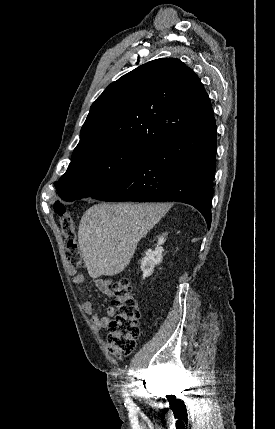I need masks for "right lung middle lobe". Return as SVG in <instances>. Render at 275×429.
I'll return each mask as SVG.
<instances>
[{
    "mask_svg": "<svg viewBox=\"0 0 275 429\" xmlns=\"http://www.w3.org/2000/svg\"><path fill=\"white\" fill-rule=\"evenodd\" d=\"M149 152L133 145L117 144L71 161L60 182H55L58 195L65 201L92 197L137 168Z\"/></svg>",
    "mask_w": 275,
    "mask_h": 429,
    "instance_id": "dd1d6c3e",
    "label": "right lung middle lobe"
}]
</instances>
